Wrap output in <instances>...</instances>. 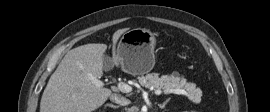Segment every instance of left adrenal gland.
Returning <instances> with one entry per match:
<instances>
[{
  "instance_id": "obj_1",
  "label": "left adrenal gland",
  "mask_w": 270,
  "mask_h": 112,
  "mask_svg": "<svg viewBox=\"0 0 270 112\" xmlns=\"http://www.w3.org/2000/svg\"><path fill=\"white\" fill-rule=\"evenodd\" d=\"M170 99H167L163 104H160L159 107L163 109L165 105L169 102Z\"/></svg>"
}]
</instances>
